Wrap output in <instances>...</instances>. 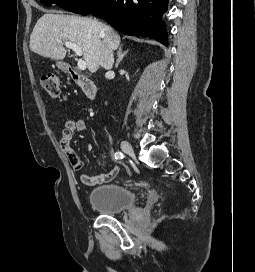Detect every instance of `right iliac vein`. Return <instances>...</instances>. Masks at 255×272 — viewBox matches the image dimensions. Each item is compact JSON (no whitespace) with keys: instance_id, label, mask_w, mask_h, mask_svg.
<instances>
[{"instance_id":"1","label":"right iliac vein","mask_w":255,"mask_h":272,"mask_svg":"<svg viewBox=\"0 0 255 272\" xmlns=\"http://www.w3.org/2000/svg\"><path fill=\"white\" fill-rule=\"evenodd\" d=\"M121 149L124 153L134 157V149L128 141L121 142Z\"/></svg>"}]
</instances>
